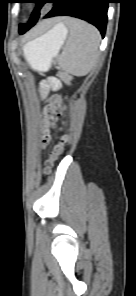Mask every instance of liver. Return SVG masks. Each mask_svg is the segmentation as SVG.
<instances>
[{"label": "liver", "instance_id": "obj_1", "mask_svg": "<svg viewBox=\"0 0 136 296\" xmlns=\"http://www.w3.org/2000/svg\"><path fill=\"white\" fill-rule=\"evenodd\" d=\"M50 23V21H45L43 22L39 27L38 29H42L46 24Z\"/></svg>", "mask_w": 136, "mask_h": 296}]
</instances>
